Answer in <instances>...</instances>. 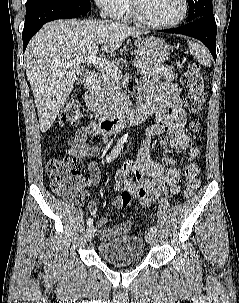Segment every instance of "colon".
<instances>
[{"label": "colon", "instance_id": "1", "mask_svg": "<svg viewBox=\"0 0 239 303\" xmlns=\"http://www.w3.org/2000/svg\"><path fill=\"white\" fill-rule=\"evenodd\" d=\"M185 83L188 91L190 111L194 116H198L204 107L206 101L205 81L200 66L191 62L185 70ZM80 120L78 104L71 99L66 102L60 117L61 124L75 125ZM199 123L193 121L191 130L198 131ZM199 155L197 148L193 147L189 151L188 162L184 169L185 188L183 196L190 198L199 187L200 169L195 160ZM82 164L76 157L50 158L45 164L46 172L50 179L52 191L67 200L80 202L83 199V192L80 186L79 174ZM132 200L131 193L124 191L120 195L121 206L127 208Z\"/></svg>", "mask_w": 239, "mask_h": 303}]
</instances>
